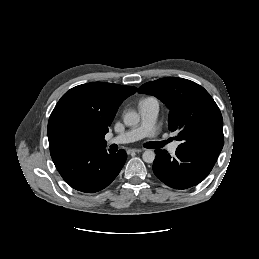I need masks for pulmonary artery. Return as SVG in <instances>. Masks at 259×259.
Here are the masks:
<instances>
[{
    "mask_svg": "<svg viewBox=\"0 0 259 259\" xmlns=\"http://www.w3.org/2000/svg\"><path fill=\"white\" fill-rule=\"evenodd\" d=\"M141 122L114 137L108 139V144H124L140 140L144 137H152L155 132V123L159 112V102L155 98H146L139 103ZM179 142H173L168 146L170 153H175Z\"/></svg>",
    "mask_w": 259,
    "mask_h": 259,
    "instance_id": "1",
    "label": "pulmonary artery"
}]
</instances>
